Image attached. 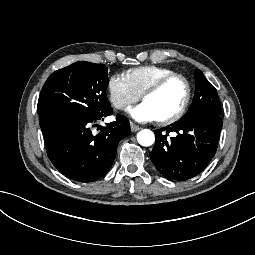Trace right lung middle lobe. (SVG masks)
Masks as SVG:
<instances>
[{"label":"right lung middle lobe","mask_w":255,"mask_h":255,"mask_svg":"<svg viewBox=\"0 0 255 255\" xmlns=\"http://www.w3.org/2000/svg\"><path fill=\"white\" fill-rule=\"evenodd\" d=\"M107 70L103 64L82 61L49 76L37 106L43 135L59 126L96 121L113 114L106 96Z\"/></svg>","instance_id":"dd1d6c3e"}]
</instances>
